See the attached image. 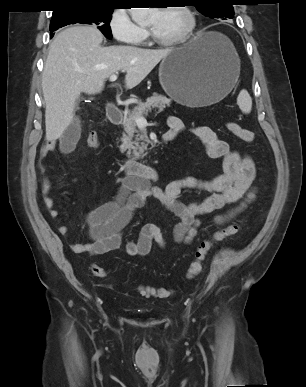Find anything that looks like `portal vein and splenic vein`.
<instances>
[{"mask_svg":"<svg viewBox=\"0 0 306 387\" xmlns=\"http://www.w3.org/2000/svg\"><path fill=\"white\" fill-rule=\"evenodd\" d=\"M117 77H118L117 74H113L109 77V80L111 82H113L117 79ZM134 121H135L136 125L139 127H144L147 125V120L143 116H140V115L135 116Z\"/></svg>","mask_w":306,"mask_h":387,"instance_id":"1","label":"portal vein and splenic vein"}]
</instances>
